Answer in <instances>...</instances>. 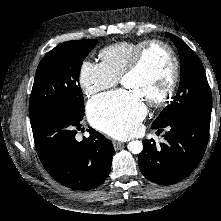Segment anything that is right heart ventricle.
Returning <instances> with one entry per match:
<instances>
[{
  "label": "right heart ventricle",
  "mask_w": 221,
  "mask_h": 221,
  "mask_svg": "<svg viewBox=\"0 0 221 221\" xmlns=\"http://www.w3.org/2000/svg\"><path fill=\"white\" fill-rule=\"evenodd\" d=\"M143 42L144 40L121 41L105 47L99 53L102 66L116 78H121L135 51Z\"/></svg>",
  "instance_id": "obj_1"
}]
</instances>
